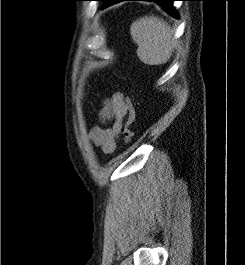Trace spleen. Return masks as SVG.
I'll use <instances>...</instances> for the list:
<instances>
[{
  "label": "spleen",
  "instance_id": "spleen-1",
  "mask_svg": "<svg viewBox=\"0 0 245 265\" xmlns=\"http://www.w3.org/2000/svg\"><path fill=\"white\" fill-rule=\"evenodd\" d=\"M133 41L138 45L139 59L148 65L165 64L176 46L174 31L163 19L149 16L137 19L130 27Z\"/></svg>",
  "mask_w": 245,
  "mask_h": 265
}]
</instances>
